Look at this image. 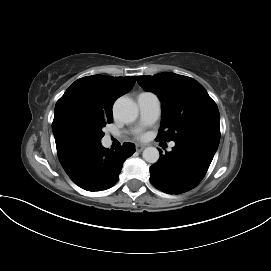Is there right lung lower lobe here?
<instances>
[{
    "label": "right lung lower lobe",
    "instance_id": "obj_1",
    "mask_svg": "<svg viewBox=\"0 0 271 271\" xmlns=\"http://www.w3.org/2000/svg\"><path fill=\"white\" fill-rule=\"evenodd\" d=\"M116 150L109 151L100 145L63 168L76 185L87 191L109 189L119 180L123 162L135 152V145L124 143Z\"/></svg>",
    "mask_w": 271,
    "mask_h": 271
}]
</instances>
